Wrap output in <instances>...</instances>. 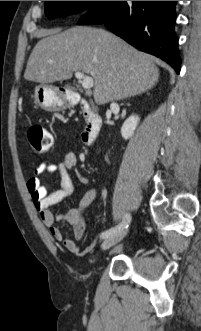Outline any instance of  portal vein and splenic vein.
I'll return each instance as SVG.
<instances>
[{
	"label": "portal vein and splenic vein",
	"instance_id": "obj_1",
	"mask_svg": "<svg viewBox=\"0 0 201 331\" xmlns=\"http://www.w3.org/2000/svg\"><path fill=\"white\" fill-rule=\"evenodd\" d=\"M75 77L80 80L84 89H91L94 86V81L91 77L84 75L82 72H75Z\"/></svg>",
	"mask_w": 201,
	"mask_h": 331
}]
</instances>
